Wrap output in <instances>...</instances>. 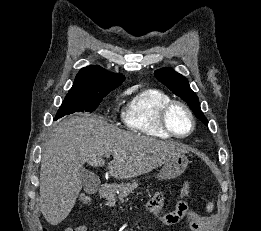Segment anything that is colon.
I'll list each match as a JSON object with an SVG mask.
<instances>
[{"instance_id":"1","label":"colon","mask_w":261,"mask_h":231,"mask_svg":"<svg viewBox=\"0 0 261 231\" xmlns=\"http://www.w3.org/2000/svg\"><path fill=\"white\" fill-rule=\"evenodd\" d=\"M189 192V184L185 183L182 187L181 193L188 194ZM90 197L82 196L80 199V203L88 204L90 202ZM191 231H202L210 225V218L206 215L196 214L189 220Z\"/></svg>"}]
</instances>
